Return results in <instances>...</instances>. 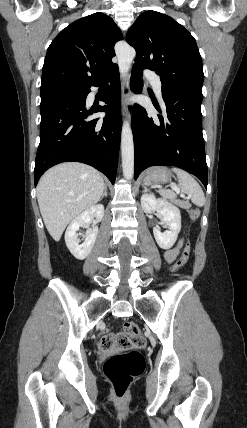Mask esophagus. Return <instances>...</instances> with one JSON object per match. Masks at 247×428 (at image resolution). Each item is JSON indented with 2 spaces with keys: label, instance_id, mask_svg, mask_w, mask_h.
I'll use <instances>...</instances> for the list:
<instances>
[{
  "label": "esophagus",
  "instance_id": "1",
  "mask_svg": "<svg viewBox=\"0 0 247 428\" xmlns=\"http://www.w3.org/2000/svg\"><path fill=\"white\" fill-rule=\"evenodd\" d=\"M130 73L125 77L122 83V104H123V113L127 116L129 121L131 120V110L132 105L130 103Z\"/></svg>",
  "mask_w": 247,
  "mask_h": 428
}]
</instances>
